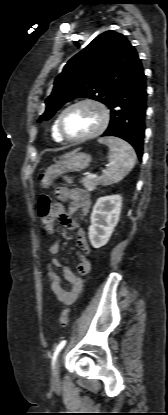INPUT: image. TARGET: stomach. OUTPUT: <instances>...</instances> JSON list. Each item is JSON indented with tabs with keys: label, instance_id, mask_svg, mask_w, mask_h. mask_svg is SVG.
I'll list each match as a JSON object with an SVG mask.
<instances>
[{
	"label": "stomach",
	"instance_id": "0dacf381",
	"mask_svg": "<svg viewBox=\"0 0 168 415\" xmlns=\"http://www.w3.org/2000/svg\"><path fill=\"white\" fill-rule=\"evenodd\" d=\"M90 162L91 156L87 153L77 151L68 153L46 171L42 180L43 187H49L52 184L53 179L63 173L78 172L86 169Z\"/></svg>",
	"mask_w": 168,
	"mask_h": 415
}]
</instances>
